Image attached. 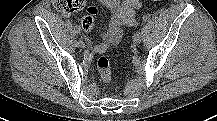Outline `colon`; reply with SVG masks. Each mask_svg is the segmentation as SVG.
I'll return each mask as SVG.
<instances>
[{
	"instance_id": "5ec220e1",
	"label": "colon",
	"mask_w": 217,
	"mask_h": 121,
	"mask_svg": "<svg viewBox=\"0 0 217 121\" xmlns=\"http://www.w3.org/2000/svg\"><path fill=\"white\" fill-rule=\"evenodd\" d=\"M160 1V0H151ZM54 7L63 14H74L80 11L86 4V0H53ZM87 15L82 20V27L85 31H90L95 23V16L98 14L96 6H90ZM96 68L102 81L109 84L112 79L111 67L108 58L100 56L96 60Z\"/></svg>"
}]
</instances>
